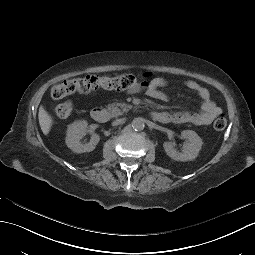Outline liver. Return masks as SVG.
<instances>
[{"instance_id": "6515ba94", "label": "liver", "mask_w": 255, "mask_h": 255, "mask_svg": "<svg viewBox=\"0 0 255 255\" xmlns=\"http://www.w3.org/2000/svg\"><path fill=\"white\" fill-rule=\"evenodd\" d=\"M38 119H39V124H40L43 134L47 135L50 131L51 126H52V118L45 111L43 106H40V108H39Z\"/></svg>"}]
</instances>
